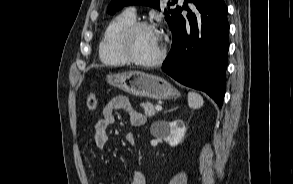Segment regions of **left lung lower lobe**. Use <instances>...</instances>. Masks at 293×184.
<instances>
[{"mask_svg":"<svg viewBox=\"0 0 293 184\" xmlns=\"http://www.w3.org/2000/svg\"><path fill=\"white\" fill-rule=\"evenodd\" d=\"M184 4L174 10L169 26L173 43L162 70L206 92L221 107L229 48L227 7L224 0H185Z\"/></svg>","mask_w":293,"mask_h":184,"instance_id":"left-lung-lower-lobe-1","label":"left lung lower lobe"}]
</instances>
